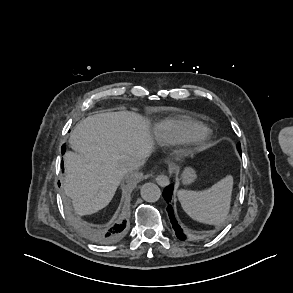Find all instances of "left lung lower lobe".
I'll return each mask as SVG.
<instances>
[{
  "label": "left lung lower lobe",
  "mask_w": 293,
  "mask_h": 293,
  "mask_svg": "<svg viewBox=\"0 0 293 293\" xmlns=\"http://www.w3.org/2000/svg\"><path fill=\"white\" fill-rule=\"evenodd\" d=\"M239 152L241 153V151H239ZM172 193H173V186L170 185L164 189L163 197L168 203L167 211H168L169 218L172 223L173 229L175 230L178 239L184 240L186 238V236L184 235L183 231L181 230L180 226L178 225V223L174 217L173 208H172L171 204H169V202L171 201Z\"/></svg>",
  "instance_id": "0a47b994"
}]
</instances>
